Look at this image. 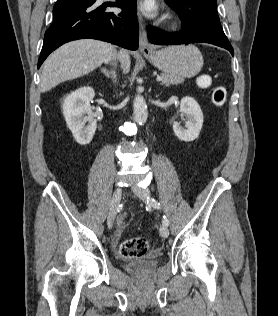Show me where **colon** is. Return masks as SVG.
Here are the masks:
<instances>
[{
	"mask_svg": "<svg viewBox=\"0 0 278 316\" xmlns=\"http://www.w3.org/2000/svg\"><path fill=\"white\" fill-rule=\"evenodd\" d=\"M209 78L207 76H202L199 79L200 85H208ZM212 102L215 106H222L227 99V88L223 85L215 86L212 90ZM149 247V242L145 237H136L125 240L121 243L119 252L121 256L125 258L140 257L143 256Z\"/></svg>",
	"mask_w": 278,
	"mask_h": 316,
	"instance_id": "5ec220e1",
	"label": "colon"
}]
</instances>
